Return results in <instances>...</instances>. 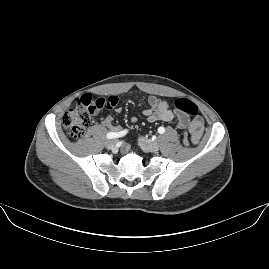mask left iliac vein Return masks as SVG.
<instances>
[{"instance_id": "obj_1", "label": "left iliac vein", "mask_w": 269, "mask_h": 269, "mask_svg": "<svg viewBox=\"0 0 269 269\" xmlns=\"http://www.w3.org/2000/svg\"><path fill=\"white\" fill-rule=\"evenodd\" d=\"M138 142L141 148L150 152H157L160 149L157 141L147 140L145 137H140Z\"/></svg>"}]
</instances>
